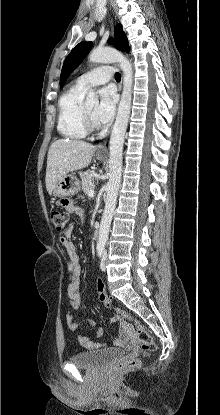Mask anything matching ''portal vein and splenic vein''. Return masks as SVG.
<instances>
[{"instance_id":"obj_1","label":"portal vein and splenic vein","mask_w":220,"mask_h":415,"mask_svg":"<svg viewBox=\"0 0 220 415\" xmlns=\"http://www.w3.org/2000/svg\"><path fill=\"white\" fill-rule=\"evenodd\" d=\"M88 195H89L90 197H93V196H94V189H91V190L89 191Z\"/></svg>"}]
</instances>
